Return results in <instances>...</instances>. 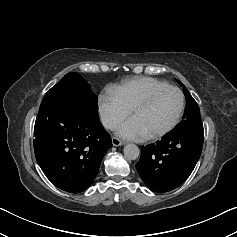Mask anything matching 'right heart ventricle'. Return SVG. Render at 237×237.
<instances>
[{
  "label": "right heart ventricle",
  "instance_id": "e07e8e85",
  "mask_svg": "<svg viewBox=\"0 0 237 237\" xmlns=\"http://www.w3.org/2000/svg\"><path fill=\"white\" fill-rule=\"evenodd\" d=\"M168 85L166 82L152 77H133L109 89L119 98L127 110L153 89Z\"/></svg>",
  "mask_w": 237,
  "mask_h": 237
}]
</instances>
